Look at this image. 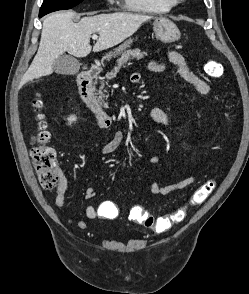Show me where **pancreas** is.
Here are the masks:
<instances>
[{"instance_id": "pancreas-1", "label": "pancreas", "mask_w": 249, "mask_h": 294, "mask_svg": "<svg viewBox=\"0 0 249 294\" xmlns=\"http://www.w3.org/2000/svg\"><path fill=\"white\" fill-rule=\"evenodd\" d=\"M146 55V54H145ZM144 57V54L139 50V49H134V50H127L125 53H123L121 55V57L117 60V65L114 67V69L111 72H108L106 74V79L107 81L112 80L113 78L116 77L117 73L119 72V70L121 69V67L125 64H127L130 60L132 59H136V60H140ZM105 83L108 85L107 82H100V90H99V94H100V100L103 103V107L104 108H108V103L104 102V99L108 98V94L106 90H103V87L105 85ZM103 90V91H102Z\"/></svg>"}]
</instances>
